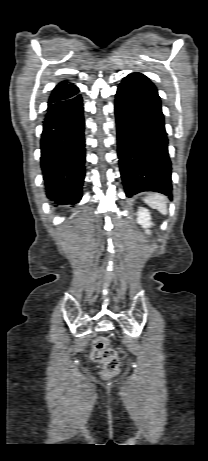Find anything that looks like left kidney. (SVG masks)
Returning <instances> with one entry per match:
<instances>
[{"mask_svg":"<svg viewBox=\"0 0 208 461\" xmlns=\"http://www.w3.org/2000/svg\"><path fill=\"white\" fill-rule=\"evenodd\" d=\"M137 222L145 229L152 226L151 214L147 208L139 207L137 212ZM149 233L148 230H146Z\"/></svg>","mask_w":208,"mask_h":461,"instance_id":"5707ae66","label":"left kidney"}]
</instances>
